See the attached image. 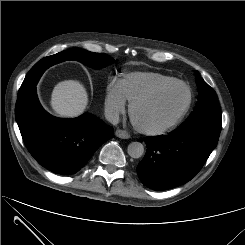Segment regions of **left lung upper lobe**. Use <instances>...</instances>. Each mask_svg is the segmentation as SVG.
Segmentation results:
<instances>
[{
  "mask_svg": "<svg viewBox=\"0 0 245 245\" xmlns=\"http://www.w3.org/2000/svg\"><path fill=\"white\" fill-rule=\"evenodd\" d=\"M195 77L199 93L198 102L194 112L181 126L201 124L221 129L222 116L216 93L201 78L198 71H196Z\"/></svg>",
  "mask_w": 245,
  "mask_h": 245,
  "instance_id": "1",
  "label": "left lung upper lobe"
}]
</instances>
